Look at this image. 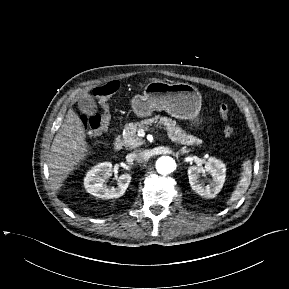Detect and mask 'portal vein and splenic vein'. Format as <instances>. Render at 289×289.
Wrapping results in <instances>:
<instances>
[{
	"mask_svg": "<svg viewBox=\"0 0 289 289\" xmlns=\"http://www.w3.org/2000/svg\"><path fill=\"white\" fill-rule=\"evenodd\" d=\"M139 132H141L142 134H144V130H143V129H141Z\"/></svg>",
	"mask_w": 289,
	"mask_h": 289,
	"instance_id": "1",
	"label": "portal vein and splenic vein"
}]
</instances>
